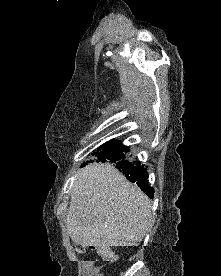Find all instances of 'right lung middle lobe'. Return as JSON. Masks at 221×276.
Listing matches in <instances>:
<instances>
[{"instance_id":"1","label":"right lung middle lobe","mask_w":221,"mask_h":276,"mask_svg":"<svg viewBox=\"0 0 221 276\" xmlns=\"http://www.w3.org/2000/svg\"><path fill=\"white\" fill-rule=\"evenodd\" d=\"M128 146L122 144L119 140H110L98 148L97 152L92 155L97 157V162H118L122 159H126V152H129ZM93 160L87 161V163H92ZM84 165V163H83Z\"/></svg>"}]
</instances>
